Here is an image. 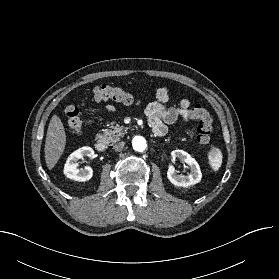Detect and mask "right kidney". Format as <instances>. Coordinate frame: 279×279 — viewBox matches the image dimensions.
Returning a JSON list of instances; mask_svg holds the SVG:
<instances>
[{"label":"right kidney","mask_w":279,"mask_h":279,"mask_svg":"<svg viewBox=\"0 0 279 279\" xmlns=\"http://www.w3.org/2000/svg\"><path fill=\"white\" fill-rule=\"evenodd\" d=\"M94 151L91 147H82L70 154L64 166V174L69 179L85 182L92 178L93 170L90 166H86L83 169L78 168V160L84 157L92 158Z\"/></svg>","instance_id":"ca27d5eb"}]
</instances>
